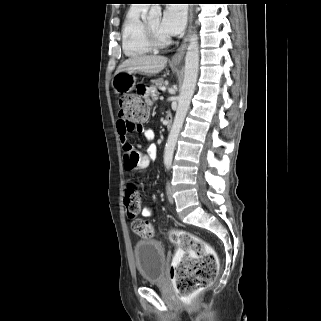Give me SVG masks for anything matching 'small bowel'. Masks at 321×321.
I'll return each mask as SVG.
<instances>
[{
    "label": "small bowel",
    "instance_id": "small-bowel-1",
    "mask_svg": "<svg viewBox=\"0 0 321 321\" xmlns=\"http://www.w3.org/2000/svg\"><path fill=\"white\" fill-rule=\"evenodd\" d=\"M134 92L135 94L138 95V97H145L146 103L150 101V92L149 90L146 89L145 83H138L137 87H135L134 89ZM117 131H118L119 140L122 146V150L124 153V159H126L128 155L138 150L129 143L128 135L131 130H129L125 125V123L122 122L121 120L117 122ZM143 134L147 141H152L155 138V132L151 128H144ZM144 156L149 161L150 158H153L156 156V148L154 146L150 147L147 154ZM141 214L144 217H150L152 216V210L149 207H144L141 211Z\"/></svg>",
    "mask_w": 321,
    "mask_h": 321
}]
</instances>
